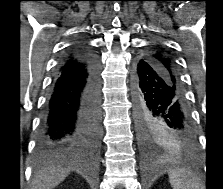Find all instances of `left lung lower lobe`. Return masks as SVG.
I'll use <instances>...</instances> for the list:
<instances>
[{
    "instance_id": "obj_1",
    "label": "left lung lower lobe",
    "mask_w": 223,
    "mask_h": 189,
    "mask_svg": "<svg viewBox=\"0 0 223 189\" xmlns=\"http://www.w3.org/2000/svg\"><path fill=\"white\" fill-rule=\"evenodd\" d=\"M133 97L139 129L159 124L191 146L196 134L181 85L159 66L138 59L133 76Z\"/></svg>"
}]
</instances>
